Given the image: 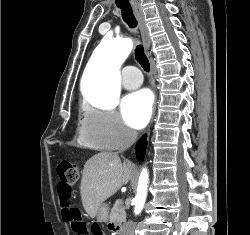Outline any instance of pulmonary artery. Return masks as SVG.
I'll return each mask as SVG.
<instances>
[{
    "mask_svg": "<svg viewBox=\"0 0 250 235\" xmlns=\"http://www.w3.org/2000/svg\"><path fill=\"white\" fill-rule=\"evenodd\" d=\"M142 75L135 66H127L122 72V85L126 89H135L142 84Z\"/></svg>",
    "mask_w": 250,
    "mask_h": 235,
    "instance_id": "obj_1",
    "label": "pulmonary artery"
}]
</instances>
